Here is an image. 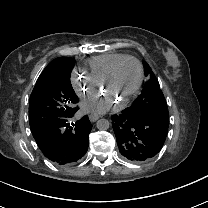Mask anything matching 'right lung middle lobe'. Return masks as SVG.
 <instances>
[{
  "instance_id": "obj_1",
  "label": "right lung middle lobe",
  "mask_w": 208,
  "mask_h": 208,
  "mask_svg": "<svg viewBox=\"0 0 208 208\" xmlns=\"http://www.w3.org/2000/svg\"><path fill=\"white\" fill-rule=\"evenodd\" d=\"M74 61L70 57L56 58L41 73L30 96V121L69 116L78 110V97L70 82Z\"/></svg>"
}]
</instances>
